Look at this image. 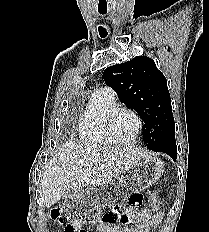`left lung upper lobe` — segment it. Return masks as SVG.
<instances>
[{"label":"left lung upper lobe","mask_w":209,"mask_h":232,"mask_svg":"<svg viewBox=\"0 0 209 232\" xmlns=\"http://www.w3.org/2000/svg\"><path fill=\"white\" fill-rule=\"evenodd\" d=\"M103 76L120 101L144 121L147 148L164 153L165 146L175 141V123L167 80L155 62L147 56L135 57L108 67Z\"/></svg>","instance_id":"1"}]
</instances>
